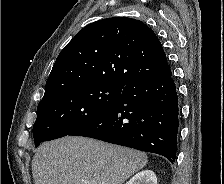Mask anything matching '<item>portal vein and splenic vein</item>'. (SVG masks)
I'll list each match as a JSON object with an SVG mask.
<instances>
[{"instance_id": "portal-vein-and-splenic-vein-1", "label": "portal vein and splenic vein", "mask_w": 224, "mask_h": 184, "mask_svg": "<svg viewBox=\"0 0 224 184\" xmlns=\"http://www.w3.org/2000/svg\"><path fill=\"white\" fill-rule=\"evenodd\" d=\"M85 184H89V183L85 181Z\"/></svg>"}]
</instances>
